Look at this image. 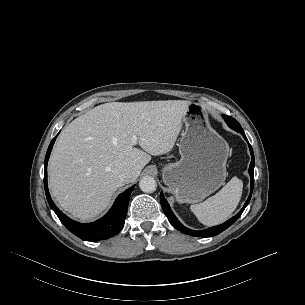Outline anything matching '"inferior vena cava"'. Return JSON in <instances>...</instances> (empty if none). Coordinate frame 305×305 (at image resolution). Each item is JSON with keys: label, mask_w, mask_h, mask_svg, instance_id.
Instances as JSON below:
<instances>
[{"label": "inferior vena cava", "mask_w": 305, "mask_h": 305, "mask_svg": "<svg viewBox=\"0 0 305 305\" xmlns=\"http://www.w3.org/2000/svg\"><path fill=\"white\" fill-rule=\"evenodd\" d=\"M132 178V172L130 170L124 169L119 173V179L123 183H129Z\"/></svg>", "instance_id": "602c4592"}]
</instances>
